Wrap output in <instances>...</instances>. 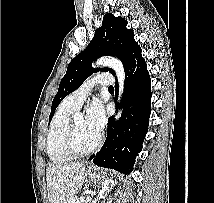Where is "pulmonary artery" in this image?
<instances>
[{"instance_id":"e3ab8cb5","label":"pulmonary artery","mask_w":214,"mask_h":203,"mask_svg":"<svg viewBox=\"0 0 214 203\" xmlns=\"http://www.w3.org/2000/svg\"><path fill=\"white\" fill-rule=\"evenodd\" d=\"M113 83L114 80L110 73L97 74L96 76L85 81L81 87L67 96L68 102L75 108L79 109L94 85L100 84L102 86H111Z\"/></svg>"}]
</instances>
